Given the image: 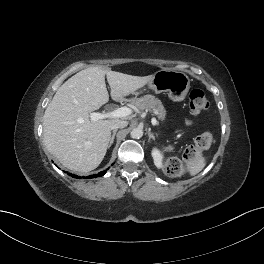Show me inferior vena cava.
I'll return each mask as SVG.
<instances>
[{
    "label": "inferior vena cava",
    "mask_w": 264,
    "mask_h": 264,
    "mask_svg": "<svg viewBox=\"0 0 264 264\" xmlns=\"http://www.w3.org/2000/svg\"><path fill=\"white\" fill-rule=\"evenodd\" d=\"M128 125L127 121H118L115 124L112 125V129L117 130L118 128H124Z\"/></svg>",
    "instance_id": "1"
}]
</instances>
